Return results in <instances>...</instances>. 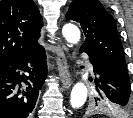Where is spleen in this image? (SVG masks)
Wrapping results in <instances>:
<instances>
[{
    "mask_svg": "<svg viewBox=\"0 0 133 118\" xmlns=\"http://www.w3.org/2000/svg\"><path fill=\"white\" fill-rule=\"evenodd\" d=\"M123 116H124V114H119V118H121V117L123 118Z\"/></svg>",
    "mask_w": 133,
    "mask_h": 118,
    "instance_id": "spleen-1",
    "label": "spleen"
}]
</instances>
